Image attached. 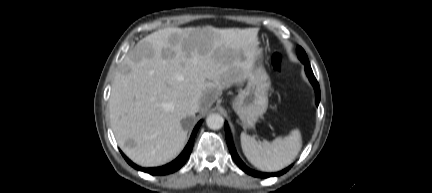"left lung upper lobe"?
<instances>
[{
    "mask_svg": "<svg viewBox=\"0 0 432 193\" xmlns=\"http://www.w3.org/2000/svg\"><path fill=\"white\" fill-rule=\"evenodd\" d=\"M297 54H298L299 59H306V60H308L305 51L300 46L297 47Z\"/></svg>",
    "mask_w": 432,
    "mask_h": 193,
    "instance_id": "1",
    "label": "left lung upper lobe"
}]
</instances>
